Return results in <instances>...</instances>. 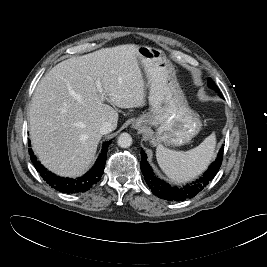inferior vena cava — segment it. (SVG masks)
<instances>
[{"label":"inferior vena cava","mask_w":267,"mask_h":267,"mask_svg":"<svg viewBox=\"0 0 267 267\" xmlns=\"http://www.w3.org/2000/svg\"><path fill=\"white\" fill-rule=\"evenodd\" d=\"M113 130H114L113 124L111 122H108V121L103 122L100 126V129H99V131L102 135L108 134V133L112 132Z\"/></svg>","instance_id":"inferior-vena-cava-1"}]
</instances>
